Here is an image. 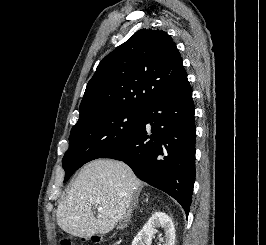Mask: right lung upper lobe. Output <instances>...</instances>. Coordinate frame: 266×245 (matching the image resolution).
<instances>
[{
	"label": "right lung upper lobe",
	"instance_id": "right-lung-upper-lobe-1",
	"mask_svg": "<svg viewBox=\"0 0 266 245\" xmlns=\"http://www.w3.org/2000/svg\"><path fill=\"white\" fill-rule=\"evenodd\" d=\"M186 80L171 37L162 30L141 29L100 62L87 84L80 118L107 108L146 110Z\"/></svg>",
	"mask_w": 266,
	"mask_h": 245
}]
</instances>
